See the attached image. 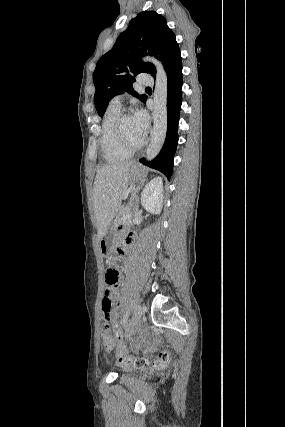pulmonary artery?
<instances>
[{"label": "pulmonary artery", "mask_w": 285, "mask_h": 427, "mask_svg": "<svg viewBox=\"0 0 285 427\" xmlns=\"http://www.w3.org/2000/svg\"><path fill=\"white\" fill-rule=\"evenodd\" d=\"M153 82H154V80H153L152 76H150L149 74H143L139 77V84L140 85L150 86L153 84ZM122 100H123L122 95H116L111 99L110 104L121 107Z\"/></svg>", "instance_id": "1"}]
</instances>
